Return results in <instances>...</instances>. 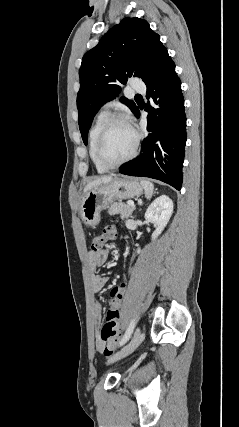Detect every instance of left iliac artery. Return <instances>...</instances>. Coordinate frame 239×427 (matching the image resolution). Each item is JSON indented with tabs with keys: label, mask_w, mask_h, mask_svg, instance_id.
Masks as SVG:
<instances>
[{
	"label": "left iliac artery",
	"mask_w": 239,
	"mask_h": 427,
	"mask_svg": "<svg viewBox=\"0 0 239 427\" xmlns=\"http://www.w3.org/2000/svg\"><path fill=\"white\" fill-rule=\"evenodd\" d=\"M134 326H135V320L133 319L130 322L129 327L127 328L122 340L120 341V346H122L123 344H125L131 337L133 330H134Z\"/></svg>",
	"instance_id": "1"
}]
</instances>
